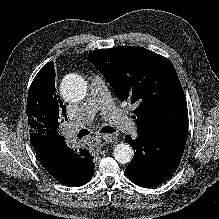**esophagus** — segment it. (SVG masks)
Here are the masks:
<instances>
[{
  "instance_id": "esophagus-1",
  "label": "esophagus",
  "mask_w": 219,
  "mask_h": 219,
  "mask_svg": "<svg viewBox=\"0 0 219 219\" xmlns=\"http://www.w3.org/2000/svg\"><path fill=\"white\" fill-rule=\"evenodd\" d=\"M114 140H115L114 135H101L98 137V143L102 146L112 143Z\"/></svg>"
}]
</instances>
